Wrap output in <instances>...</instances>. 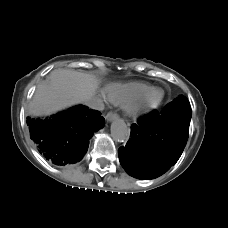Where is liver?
<instances>
[{
	"label": "liver",
	"mask_w": 228,
	"mask_h": 228,
	"mask_svg": "<svg viewBox=\"0 0 228 228\" xmlns=\"http://www.w3.org/2000/svg\"><path fill=\"white\" fill-rule=\"evenodd\" d=\"M99 81L94 76L71 69H56L40 84L30 103V114H50L94 98Z\"/></svg>",
	"instance_id": "6515ba94"
}]
</instances>
